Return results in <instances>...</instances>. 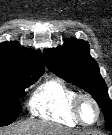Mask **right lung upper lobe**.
I'll use <instances>...</instances> for the list:
<instances>
[{
    "instance_id": "obj_1",
    "label": "right lung upper lobe",
    "mask_w": 112,
    "mask_h": 135,
    "mask_svg": "<svg viewBox=\"0 0 112 135\" xmlns=\"http://www.w3.org/2000/svg\"><path fill=\"white\" fill-rule=\"evenodd\" d=\"M44 72L40 51L32 52L17 42L0 44V78L8 75H22L39 78Z\"/></svg>"
}]
</instances>
